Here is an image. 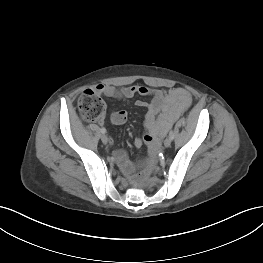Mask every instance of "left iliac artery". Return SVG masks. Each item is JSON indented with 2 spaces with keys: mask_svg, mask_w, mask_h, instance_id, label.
<instances>
[{
  "mask_svg": "<svg viewBox=\"0 0 263 263\" xmlns=\"http://www.w3.org/2000/svg\"><path fill=\"white\" fill-rule=\"evenodd\" d=\"M169 137L173 140L174 139V132L173 131H171L170 133H169Z\"/></svg>",
  "mask_w": 263,
  "mask_h": 263,
  "instance_id": "left-iliac-artery-1",
  "label": "left iliac artery"
}]
</instances>
